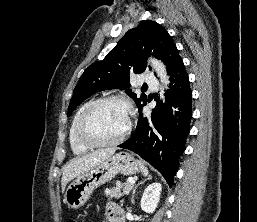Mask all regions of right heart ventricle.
I'll use <instances>...</instances> for the list:
<instances>
[{
	"label": "right heart ventricle",
	"instance_id": "obj_1",
	"mask_svg": "<svg viewBox=\"0 0 257 222\" xmlns=\"http://www.w3.org/2000/svg\"><path fill=\"white\" fill-rule=\"evenodd\" d=\"M92 103V101L85 103L80 107V109L77 111L75 116L73 117V120L71 122L70 128H69V144L71 147V150L74 154H83L90 150L91 147H88L84 144H82L76 136V127L78 120L83 113V111Z\"/></svg>",
	"mask_w": 257,
	"mask_h": 222
}]
</instances>
